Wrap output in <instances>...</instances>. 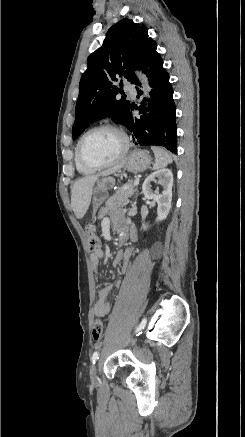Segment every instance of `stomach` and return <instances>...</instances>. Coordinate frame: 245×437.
Masks as SVG:
<instances>
[{
	"instance_id": "1",
	"label": "stomach",
	"mask_w": 245,
	"mask_h": 437,
	"mask_svg": "<svg viewBox=\"0 0 245 437\" xmlns=\"http://www.w3.org/2000/svg\"><path fill=\"white\" fill-rule=\"evenodd\" d=\"M151 156L144 150L135 149L128 155L124 168L132 173H140L149 168ZM115 184V179L106 176L97 181V185L92 193V204L94 212L102 205L108 196V190Z\"/></svg>"
}]
</instances>
